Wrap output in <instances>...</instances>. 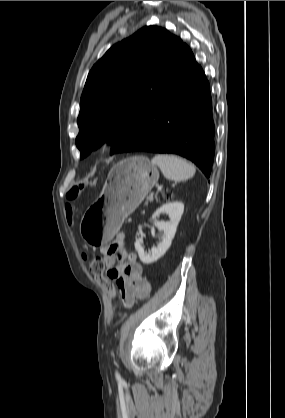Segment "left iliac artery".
<instances>
[{"label":"left iliac artery","instance_id":"left-iliac-artery-1","mask_svg":"<svg viewBox=\"0 0 285 418\" xmlns=\"http://www.w3.org/2000/svg\"><path fill=\"white\" fill-rule=\"evenodd\" d=\"M116 377H117L118 380L121 379V377H120V375L118 373H116Z\"/></svg>","mask_w":285,"mask_h":418}]
</instances>
